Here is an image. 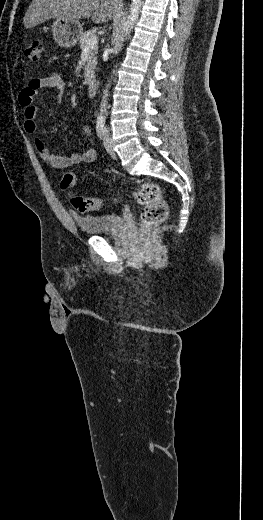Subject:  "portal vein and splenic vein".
Here are the masks:
<instances>
[{"label":"portal vein and splenic vein","instance_id":"portal-vein-and-splenic-vein-1","mask_svg":"<svg viewBox=\"0 0 263 520\" xmlns=\"http://www.w3.org/2000/svg\"><path fill=\"white\" fill-rule=\"evenodd\" d=\"M97 43H98V38L97 36H93L92 38H90L87 42V47L85 49H91V48H94L95 46H97Z\"/></svg>","mask_w":263,"mask_h":520}]
</instances>
